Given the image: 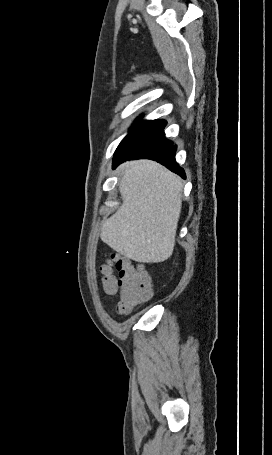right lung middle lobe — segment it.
I'll use <instances>...</instances> for the list:
<instances>
[{
	"mask_svg": "<svg viewBox=\"0 0 272 455\" xmlns=\"http://www.w3.org/2000/svg\"><path fill=\"white\" fill-rule=\"evenodd\" d=\"M145 121H140L136 124L133 125V127L129 130V132H131L132 130H134L135 128H137L138 126H140L141 124H143Z\"/></svg>",
	"mask_w": 272,
	"mask_h": 455,
	"instance_id": "1",
	"label": "right lung middle lobe"
}]
</instances>
